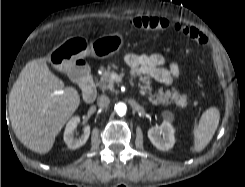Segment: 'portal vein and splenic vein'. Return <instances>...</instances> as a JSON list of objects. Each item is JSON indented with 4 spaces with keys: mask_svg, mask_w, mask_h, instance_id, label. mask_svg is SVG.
Masks as SVG:
<instances>
[{
    "mask_svg": "<svg viewBox=\"0 0 245 187\" xmlns=\"http://www.w3.org/2000/svg\"><path fill=\"white\" fill-rule=\"evenodd\" d=\"M114 79L116 80V81H121V77L120 76H118V75H114Z\"/></svg>",
    "mask_w": 245,
    "mask_h": 187,
    "instance_id": "portal-vein-and-splenic-vein-1",
    "label": "portal vein and splenic vein"
}]
</instances>
